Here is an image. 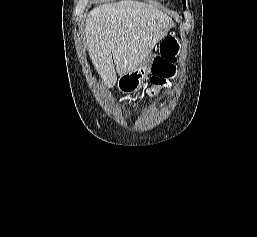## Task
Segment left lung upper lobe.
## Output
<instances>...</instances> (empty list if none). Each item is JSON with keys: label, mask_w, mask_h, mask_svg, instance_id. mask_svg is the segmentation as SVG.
Returning <instances> with one entry per match:
<instances>
[{"label": "left lung upper lobe", "mask_w": 257, "mask_h": 237, "mask_svg": "<svg viewBox=\"0 0 257 237\" xmlns=\"http://www.w3.org/2000/svg\"><path fill=\"white\" fill-rule=\"evenodd\" d=\"M182 3H183V5H184V10L186 9V0H182Z\"/></svg>", "instance_id": "obj_1"}]
</instances>
